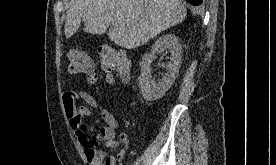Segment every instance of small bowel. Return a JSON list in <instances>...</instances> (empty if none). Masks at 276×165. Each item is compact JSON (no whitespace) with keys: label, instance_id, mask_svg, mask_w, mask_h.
Listing matches in <instances>:
<instances>
[{"label":"small bowel","instance_id":"small-bowel-1","mask_svg":"<svg viewBox=\"0 0 276 165\" xmlns=\"http://www.w3.org/2000/svg\"><path fill=\"white\" fill-rule=\"evenodd\" d=\"M78 99L83 100L88 106L77 107L76 102ZM62 101L70 126L76 138L84 147L89 164L122 165L120 160L128 148L129 138L126 133H121L118 138L116 137L118 121L114 114L105 109L91 94L84 91L67 90L63 94ZM89 107L98 111L106 123V126L102 127L99 134L93 138H89L82 128L83 121L90 115ZM98 141H103L108 149H114L118 144L122 145V149L118 155L110 154L96 149Z\"/></svg>","mask_w":276,"mask_h":165}]
</instances>
